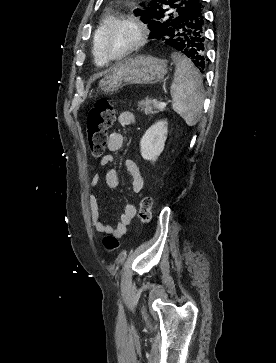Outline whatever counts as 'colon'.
Masks as SVG:
<instances>
[{"label": "colon", "instance_id": "obj_1", "mask_svg": "<svg viewBox=\"0 0 276 363\" xmlns=\"http://www.w3.org/2000/svg\"><path fill=\"white\" fill-rule=\"evenodd\" d=\"M115 118V106L106 99L98 100L87 114V134L90 152L94 157H101L105 152L107 132ZM138 213L143 224L152 218V199L144 197L139 202ZM118 240L114 236H107L104 245L108 250L118 247Z\"/></svg>", "mask_w": 276, "mask_h": 363}]
</instances>
